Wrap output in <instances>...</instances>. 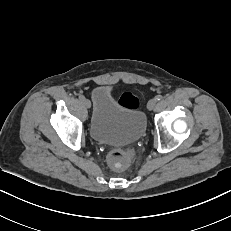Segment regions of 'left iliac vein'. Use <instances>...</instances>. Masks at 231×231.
<instances>
[{
	"mask_svg": "<svg viewBox=\"0 0 231 231\" xmlns=\"http://www.w3.org/2000/svg\"><path fill=\"white\" fill-rule=\"evenodd\" d=\"M156 104H157L156 98H152V99L149 100V102H148V104H147V108H148L149 110H153L154 107L156 106Z\"/></svg>",
	"mask_w": 231,
	"mask_h": 231,
	"instance_id": "4c4485c4",
	"label": "left iliac vein"
}]
</instances>
